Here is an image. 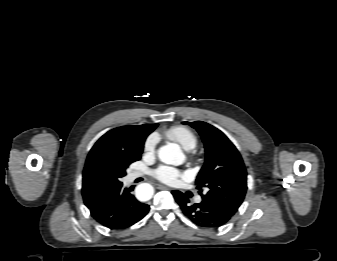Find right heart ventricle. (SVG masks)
<instances>
[{
	"label": "right heart ventricle",
	"mask_w": 337,
	"mask_h": 261,
	"mask_svg": "<svg viewBox=\"0 0 337 261\" xmlns=\"http://www.w3.org/2000/svg\"><path fill=\"white\" fill-rule=\"evenodd\" d=\"M164 135L180 144L185 150H192L197 146L198 140L193 131L181 125H176L168 128Z\"/></svg>",
	"instance_id": "obj_1"
}]
</instances>
